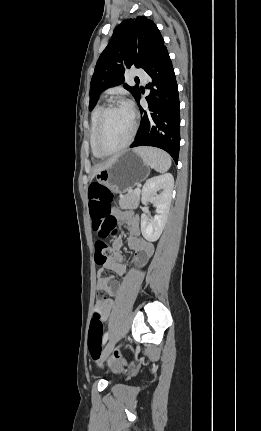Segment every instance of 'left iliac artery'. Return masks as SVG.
<instances>
[{"mask_svg": "<svg viewBox=\"0 0 261 431\" xmlns=\"http://www.w3.org/2000/svg\"><path fill=\"white\" fill-rule=\"evenodd\" d=\"M108 340V332H106L103 336L102 345H104Z\"/></svg>", "mask_w": 261, "mask_h": 431, "instance_id": "1", "label": "left iliac artery"}]
</instances>
